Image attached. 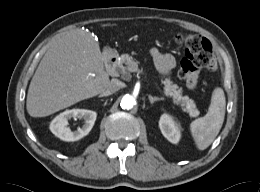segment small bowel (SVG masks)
<instances>
[{
	"label": "small bowel",
	"mask_w": 260,
	"mask_h": 192,
	"mask_svg": "<svg viewBox=\"0 0 260 192\" xmlns=\"http://www.w3.org/2000/svg\"><path fill=\"white\" fill-rule=\"evenodd\" d=\"M150 54L156 68L162 74H169L176 65L174 56L168 53H163L158 47H152L150 49Z\"/></svg>",
	"instance_id": "c3829d8e"
}]
</instances>
